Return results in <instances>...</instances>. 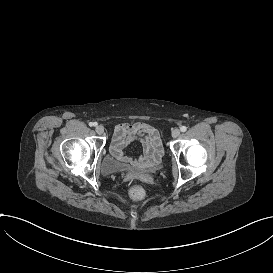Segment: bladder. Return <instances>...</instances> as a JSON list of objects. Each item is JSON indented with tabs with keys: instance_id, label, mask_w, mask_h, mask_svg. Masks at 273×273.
I'll use <instances>...</instances> for the list:
<instances>
[{
	"instance_id": "31cf9c89",
	"label": "bladder",
	"mask_w": 273,
	"mask_h": 273,
	"mask_svg": "<svg viewBox=\"0 0 273 273\" xmlns=\"http://www.w3.org/2000/svg\"><path fill=\"white\" fill-rule=\"evenodd\" d=\"M161 167V163L158 162L155 166H153L152 170H157ZM102 172L105 175H114L117 173L125 172L129 170V167L121 162L113 158L112 156H106L101 165Z\"/></svg>"
}]
</instances>
